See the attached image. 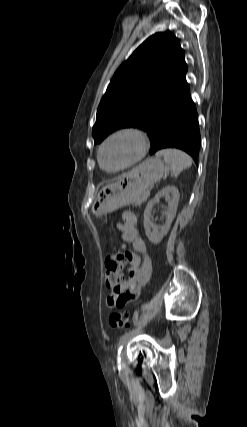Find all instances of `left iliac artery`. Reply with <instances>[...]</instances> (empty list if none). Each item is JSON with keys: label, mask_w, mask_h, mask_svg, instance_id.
Here are the masks:
<instances>
[{"label": "left iliac artery", "mask_w": 247, "mask_h": 427, "mask_svg": "<svg viewBox=\"0 0 247 427\" xmlns=\"http://www.w3.org/2000/svg\"><path fill=\"white\" fill-rule=\"evenodd\" d=\"M140 328V326L138 327ZM134 332V330H130L127 333H125L119 340V344H118V354H120L122 348H123V342L128 339V337ZM118 363H120V359L118 357Z\"/></svg>", "instance_id": "obj_1"}]
</instances>
